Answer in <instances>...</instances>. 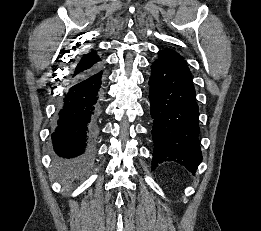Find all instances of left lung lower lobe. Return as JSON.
<instances>
[{
  "label": "left lung lower lobe",
  "instance_id": "obj_1",
  "mask_svg": "<svg viewBox=\"0 0 261 231\" xmlns=\"http://www.w3.org/2000/svg\"><path fill=\"white\" fill-rule=\"evenodd\" d=\"M151 69L152 170L164 161H173L194 174L202 154L199 109L192 77L161 54L152 63Z\"/></svg>",
  "mask_w": 261,
  "mask_h": 231
}]
</instances>
